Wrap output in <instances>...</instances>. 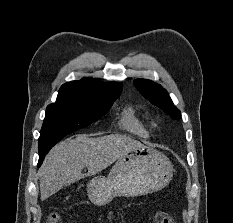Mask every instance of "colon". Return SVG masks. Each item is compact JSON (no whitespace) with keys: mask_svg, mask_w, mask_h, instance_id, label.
Instances as JSON below:
<instances>
[{"mask_svg":"<svg viewBox=\"0 0 233 223\" xmlns=\"http://www.w3.org/2000/svg\"><path fill=\"white\" fill-rule=\"evenodd\" d=\"M47 223H61L60 216L57 213H52L47 220ZM158 223H175V220L172 216L166 213H159Z\"/></svg>","mask_w":233,"mask_h":223,"instance_id":"1","label":"colon"}]
</instances>
